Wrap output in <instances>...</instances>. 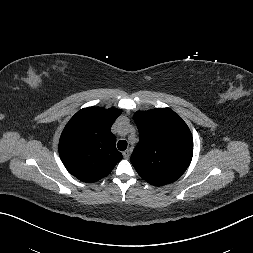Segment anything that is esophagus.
Wrapping results in <instances>:
<instances>
[{
    "instance_id": "obj_1",
    "label": "esophagus",
    "mask_w": 253,
    "mask_h": 253,
    "mask_svg": "<svg viewBox=\"0 0 253 253\" xmlns=\"http://www.w3.org/2000/svg\"><path fill=\"white\" fill-rule=\"evenodd\" d=\"M123 157L125 159H129L130 157V150H125L123 153H122Z\"/></svg>"
}]
</instances>
